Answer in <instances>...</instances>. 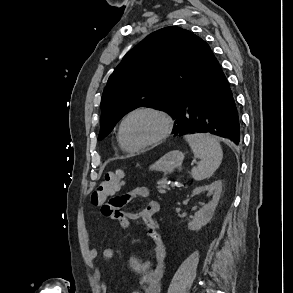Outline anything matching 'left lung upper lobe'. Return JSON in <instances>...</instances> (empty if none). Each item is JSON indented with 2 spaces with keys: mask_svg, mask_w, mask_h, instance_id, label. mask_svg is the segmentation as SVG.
<instances>
[{
  "mask_svg": "<svg viewBox=\"0 0 293 293\" xmlns=\"http://www.w3.org/2000/svg\"><path fill=\"white\" fill-rule=\"evenodd\" d=\"M213 59L209 45L188 30L170 26L147 36L108 79L98 140L126 113L141 106L163 108L177 123L184 100L206 79Z\"/></svg>",
  "mask_w": 293,
  "mask_h": 293,
  "instance_id": "5c2ea615",
  "label": "left lung upper lobe"
}]
</instances>
